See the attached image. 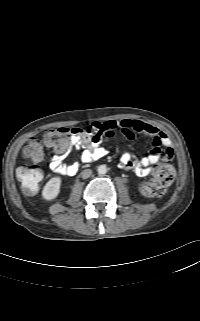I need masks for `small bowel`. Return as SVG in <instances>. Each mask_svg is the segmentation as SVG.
Here are the masks:
<instances>
[{
  "mask_svg": "<svg viewBox=\"0 0 200 321\" xmlns=\"http://www.w3.org/2000/svg\"><path fill=\"white\" fill-rule=\"evenodd\" d=\"M65 150L54 149L55 155L49 163L50 169L58 174L72 176L79 169V164L73 162L66 164L63 161L66 150L81 149L80 159L83 162H91L105 155L101 147L102 136H112L115 131L120 130L128 139H134L135 133L143 134L151 140V149L148 155L139 158L137 155L126 152L120 158V165L124 170H133L139 177L148 176L154 166L167 157L168 153L173 155L170 138L158 128L144 123L140 120H110L106 122H92L83 129L74 128ZM165 147L162 156L161 147ZM40 158L39 160H41Z\"/></svg>",
  "mask_w": 200,
  "mask_h": 321,
  "instance_id": "c3829d8e",
  "label": "small bowel"
}]
</instances>
